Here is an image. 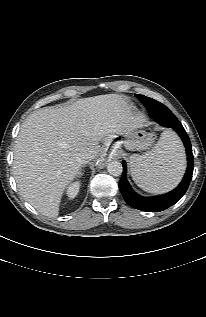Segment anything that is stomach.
Wrapping results in <instances>:
<instances>
[{
    "label": "stomach",
    "mask_w": 206,
    "mask_h": 317,
    "mask_svg": "<svg viewBox=\"0 0 206 317\" xmlns=\"http://www.w3.org/2000/svg\"><path fill=\"white\" fill-rule=\"evenodd\" d=\"M123 142L128 150H144L150 146L151 135L143 130L134 129L128 132Z\"/></svg>",
    "instance_id": "0dacf381"
}]
</instances>
